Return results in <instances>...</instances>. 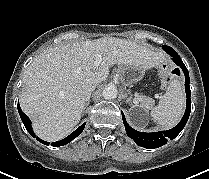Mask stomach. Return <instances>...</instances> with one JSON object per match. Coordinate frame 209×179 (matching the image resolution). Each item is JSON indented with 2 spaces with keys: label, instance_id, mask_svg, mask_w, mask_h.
<instances>
[{
  "label": "stomach",
  "instance_id": "obj_1",
  "mask_svg": "<svg viewBox=\"0 0 209 179\" xmlns=\"http://www.w3.org/2000/svg\"><path fill=\"white\" fill-rule=\"evenodd\" d=\"M144 70L135 65H126L119 67V80L124 87L139 82L144 76Z\"/></svg>",
  "mask_w": 209,
  "mask_h": 179
}]
</instances>
